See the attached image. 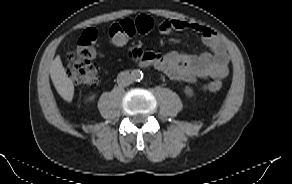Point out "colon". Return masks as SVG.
Instances as JSON below:
<instances>
[{
  "instance_id": "1",
  "label": "colon",
  "mask_w": 292,
  "mask_h": 184,
  "mask_svg": "<svg viewBox=\"0 0 292 184\" xmlns=\"http://www.w3.org/2000/svg\"><path fill=\"white\" fill-rule=\"evenodd\" d=\"M155 29V22L149 16L125 19L111 25L108 37L113 45H124L135 34L147 35ZM97 33L94 29L84 31L76 45L67 55V75L78 85L92 87L98 83V66L92 62L97 53ZM223 86L222 80L208 82L204 88L217 92Z\"/></svg>"
}]
</instances>
